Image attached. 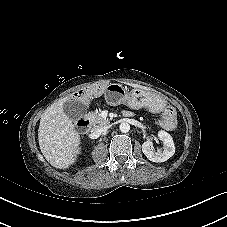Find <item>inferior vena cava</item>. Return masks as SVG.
Listing matches in <instances>:
<instances>
[{
  "mask_svg": "<svg viewBox=\"0 0 227 227\" xmlns=\"http://www.w3.org/2000/svg\"><path fill=\"white\" fill-rule=\"evenodd\" d=\"M109 129V126H103L94 130L92 136L93 138H98L102 133L106 132Z\"/></svg>",
  "mask_w": 227,
  "mask_h": 227,
  "instance_id": "1",
  "label": "inferior vena cava"
}]
</instances>
